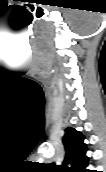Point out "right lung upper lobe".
Instances as JSON below:
<instances>
[{"instance_id":"cb5924a9","label":"right lung upper lobe","mask_w":106,"mask_h":172,"mask_svg":"<svg viewBox=\"0 0 106 172\" xmlns=\"http://www.w3.org/2000/svg\"><path fill=\"white\" fill-rule=\"evenodd\" d=\"M63 144L66 154L62 166L57 167L59 172H89L86 169L89 164L87 146L82 133L72 127L66 128Z\"/></svg>"}]
</instances>
